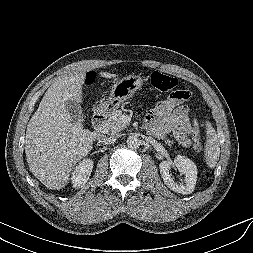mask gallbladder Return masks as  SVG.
Here are the masks:
<instances>
[{"instance_id":"gallbladder-1","label":"gallbladder","mask_w":253,"mask_h":253,"mask_svg":"<svg viewBox=\"0 0 253 253\" xmlns=\"http://www.w3.org/2000/svg\"><path fill=\"white\" fill-rule=\"evenodd\" d=\"M66 107L73 121L80 122L82 124L85 123V116L82 112L80 104L75 101H67Z\"/></svg>"}]
</instances>
